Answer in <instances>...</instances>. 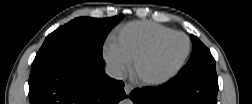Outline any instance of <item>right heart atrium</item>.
<instances>
[{
    "mask_svg": "<svg viewBox=\"0 0 252 104\" xmlns=\"http://www.w3.org/2000/svg\"><path fill=\"white\" fill-rule=\"evenodd\" d=\"M106 57L117 73H124L129 68V61L120 54L113 43L108 45L106 49Z\"/></svg>",
    "mask_w": 252,
    "mask_h": 104,
    "instance_id": "right-heart-atrium-1",
    "label": "right heart atrium"
}]
</instances>
